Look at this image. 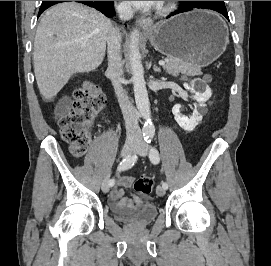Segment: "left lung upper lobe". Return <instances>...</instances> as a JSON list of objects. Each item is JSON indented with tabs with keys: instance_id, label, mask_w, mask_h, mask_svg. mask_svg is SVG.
<instances>
[{
	"instance_id": "5c2ea615",
	"label": "left lung upper lobe",
	"mask_w": 271,
	"mask_h": 266,
	"mask_svg": "<svg viewBox=\"0 0 271 266\" xmlns=\"http://www.w3.org/2000/svg\"><path fill=\"white\" fill-rule=\"evenodd\" d=\"M182 5L193 7L211 9L217 12L227 11L224 1H180Z\"/></svg>"
}]
</instances>
